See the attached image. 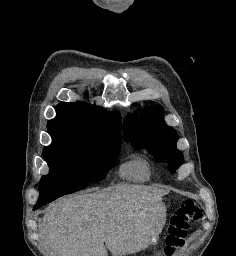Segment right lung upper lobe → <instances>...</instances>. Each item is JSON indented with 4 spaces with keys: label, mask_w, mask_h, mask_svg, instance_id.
<instances>
[{
    "label": "right lung upper lobe",
    "mask_w": 236,
    "mask_h": 256,
    "mask_svg": "<svg viewBox=\"0 0 236 256\" xmlns=\"http://www.w3.org/2000/svg\"><path fill=\"white\" fill-rule=\"evenodd\" d=\"M49 132H71L74 134L121 142L120 115L106 113L95 105L84 102L57 105V117L48 122Z\"/></svg>",
    "instance_id": "1"
}]
</instances>
